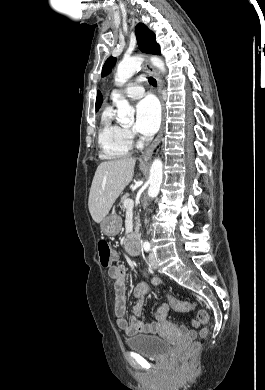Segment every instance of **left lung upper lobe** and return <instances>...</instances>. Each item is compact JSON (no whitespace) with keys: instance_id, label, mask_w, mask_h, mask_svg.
I'll use <instances>...</instances> for the list:
<instances>
[{"instance_id":"5c2ea615","label":"left lung upper lobe","mask_w":265,"mask_h":390,"mask_svg":"<svg viewBox=\"0 0 265 390\" xmlns=\"http://www.w3.org/2000/svg\"><path fill=\"white\" fill-rule=\"evenodd\" d=\"M135 34L139 49L142 52L160 54V47L155 42V34L149 30L146 25L143 23L137 24L135 28ZM115 61L116 58L114 57H110L106 60L103 66L102 76H105L111 72V68L114 66Z\"/></svg>"}]
</instances>
